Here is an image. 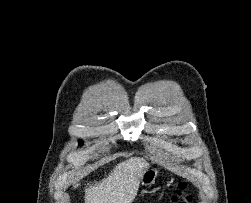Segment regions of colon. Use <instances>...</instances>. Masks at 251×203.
<instances>
[{
    "instance_id": "1",
    "label": "colon",
    "mask_w": 251,
    "mask_h": 203,
    "mask_svg": "<svg viewBox=\"0 0 251 203\" xmlns=\"http://www.w3.org/2000/svg\"><path fill=\"white\" fill-rule=\"evenodd\" d=\"M185 187V183H180L175 194L171 197L170 201L166 203H187L189 198L184 193Z\"/></svg>"
}]
</instances>
